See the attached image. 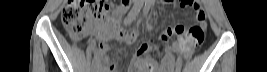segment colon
I'll use <instances>...</instances> for the list:
<instances>
[{"mask_svg":"<svg viewBox=\"0 0 267 72\" xmlns=\"http://www.w3.org/2000/svg\"><path fill=\"white\" fill-rule=\"evenodd\" d=\"M109 1L105 0H69L62 9V21L67 28L72 38L78 40L82 37L86 29L89 27L90 21L93 18H102L105 20L107 30L115 28V22L111 18H106L109 12ZM129 3L130 0L122 1ZM182 6H191L196 12L197 21L188 29L185 30L181 26L176 27V31L184 39L180 45L181 52L189 57L194 49L203 43L206 31V13L205 17H197V14L202 10L201 1L199 0H182ZM128 38H134V33H126ZM169 33H163L162 40H167Z\"/></svg>","mask_w":267,"mask_h":72,"instance_id":"colon-1","label":"colon"}]
</instances>
